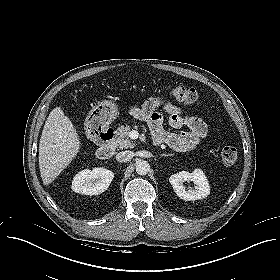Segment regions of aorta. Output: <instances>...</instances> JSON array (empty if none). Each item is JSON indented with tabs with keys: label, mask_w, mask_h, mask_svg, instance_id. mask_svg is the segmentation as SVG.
I'll use <instances>...</instances> for the list:
<instances>
[{
	"label": "aorta",
	"mask_w": 280,
	"mask_h": 280,
	"mask_svg": "<svg viewBox=\"0 0 280 280\" xmlns=\"http://www.w3.org/2000/svg\"><path fill=\"white\" fill-rule=\"evenodd\" d=\"M150 170V164L145 160L136 163V172L139 175H146Z\"/></svg>",
	"instance_id": "762f6f07"
}]
</instances>
